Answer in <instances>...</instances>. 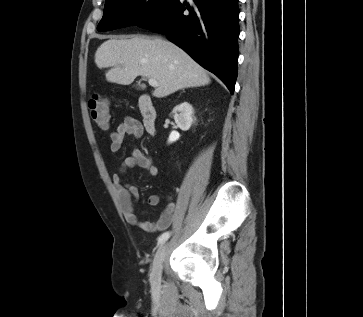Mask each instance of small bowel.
<instances>
[{
    "label": "small bowel",
    "mask_w": 363,
    "mask_h": 317,
    "mask_svg": "<svg viewBox=\"0 0 363 317\" xmlns=\"http://www.w3.org/2000/svg\"><path fill=\"white\" fill-rule=\"evenodd\" d=\"M143 134L144 127L142 123L132 117H126L117 129L110 134V149L113 153H117L121 150L126 135H132L134 138L140 139L143 137ZM134 167L145 169L150 176H156L158 174V168L154 164L152 158L139 149H134L130 156L124 158L120 165L119 172L113 174L112 183L117 192L119 204L126 221L134 226H139L152 232L167 229L171 225L177 210V204L173 201H169L166 204L156 221L141 222L138 219L133 207L132 199L138 197L139 190L134 185H123L121 183V175L124 174L126 170ZM159 202L160 197L157 194H152L147 199L149 206H156Z\"/></svg>",
    "instance_id": "1"
}]
</instances>
